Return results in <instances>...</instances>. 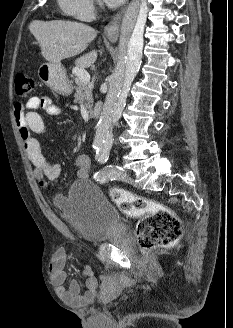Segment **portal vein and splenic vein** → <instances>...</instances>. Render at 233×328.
<instances>
[{"instance_id": "obj_1", "label": "portal vein and splenic vein", "mask_w": 233, "mask_h": 328, "mask_svg": "<svg viewBox=\"0 0 233 328\" xmlns=\"http://www.w3.org/2000/svg\"><path fill=\"white\" fill-rule=\"evenodd\" d=\"M72 73L75 74L84 84H88L90 82V75L83 69L78 67L73 68Z\"/></svg>"}]
</instances>
